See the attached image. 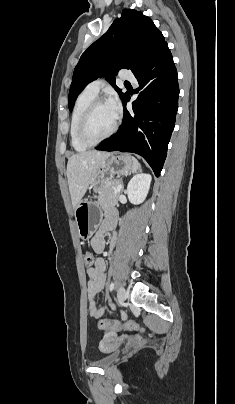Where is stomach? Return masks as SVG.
<instances>
[{
    "instance_id": "1",
    "label": "stomach",
    "mask_w": 235,
    "mask_h": 404,
    "mask_svg": "<svg viewBox=\"0 0 235 404\" xmlns=\"http://www.w3.org/2000/svg\"><path fill=\"white\" fill-rule=\"evenodd\" d=\"M133 170V159L129 154H110L99 167L89 189L99 192L101 186L115 175H127ZM74 216L79 237L88 240L98 229L103 213L98 203L84 200L74 209Z\"/></svg>"
}]
</instances>
